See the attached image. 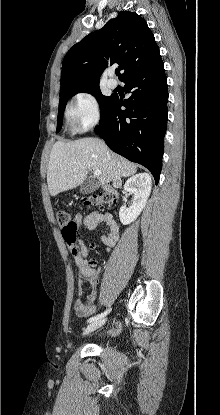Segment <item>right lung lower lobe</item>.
Wrapping results in <instances>:
<instances>
[{"label":"right lung lower lobe","instance_id":"98d812e1","mask_svg":"<svg viewBox=\"0 0 220 415\" xmlns=\"http://www.w3.org/2000/svg\"><path fill=\"white\" fill-rule=\"evenodd\" d=\"M127 100L113 96L95 132L114 152L142 164L159 181L167 123L168 89L163 61L121 80ZM125 106V110H121Z\"/></svg>","mask_w":220,"mask_h":415}]
</instances>
